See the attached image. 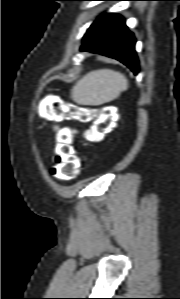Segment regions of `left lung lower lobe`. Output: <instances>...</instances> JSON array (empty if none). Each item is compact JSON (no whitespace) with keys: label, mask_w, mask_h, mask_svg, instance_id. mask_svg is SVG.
I'll return each instance as SVG.
<instances>
[{"label":"left lung lower lobe","mask_w":180,"mask_h":299,"mask_svg":"<svg viewBox=\"0 0 180 299\" xmlns=\"http://www.w3.org/2000/svg\"><path fill=\"white\" fill-rule=\"evenodd\" d=\"M134 46V35L128 30L124 18L118 14L105 13L87 30L80 50L117 59L137 74L139 65Z\"/></svg>","instance_id":"left-lung-lower-lobe-1"}]
</instances>
